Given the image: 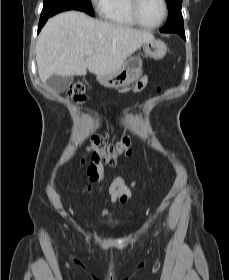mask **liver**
Segmentation results:
<instances>
[{"label":"liver","instance_id":"1","mask_svg":"<svg viewBox=\"0 0 229 280\" xmlns=\"http://www.w3.org/2000/svg\"><path fill=\"white\" fill-rule=\"evenodd\" d=\"M154 40L151 32L94 19L68 11L48 20L36 45L38 74L42 83L53 75H107L119 70L144 43ZM93 54L86 57V52Z\"/></svg>","mask_w":229,"mask_h":280}]
</instances>
